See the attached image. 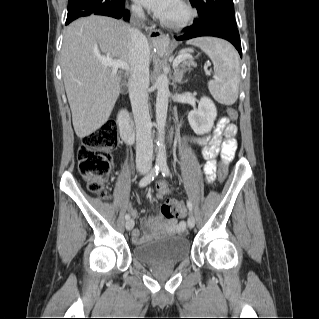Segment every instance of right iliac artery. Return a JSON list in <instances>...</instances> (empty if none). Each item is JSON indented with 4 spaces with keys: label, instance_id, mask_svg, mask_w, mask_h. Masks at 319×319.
I'll list each match as a JSON object with an SVG mask.
<instances>
[{
    "label": "right iliac artery",
    "instance_id": "obj_1",
    "mask_svg": "<svg viewBox=\"0 0 319 319\" xmlns=\"http://www.w3.org/2000/svg\"><path fill=\"white\" fill-rule=\"evenodd\" d=\"M159 172H160V165H155L153 169L140 180L139 186L145 187L148 184H150L154 180V178L158 175ZM125 218L126 220H128L130 218V215L126 214Z\"/></svg>",
    "mask_w": 319,
    "mask_h": 319
}]
</instances>
